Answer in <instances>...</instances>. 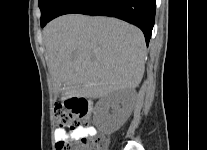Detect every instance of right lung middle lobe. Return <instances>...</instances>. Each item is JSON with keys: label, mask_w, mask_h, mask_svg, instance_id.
Listing matches in <instances>:
<instances>
[{"label": "right lung middle lobe", "mask_w": 207, "mask_h": 150, "mask_svg": "<svg viewBox=\"0 0 207 150\" xmlns=\"http://www.w3.org/2000/svg\"><path fill=\"white\" fill-rule=\"evenodd\" d=\"M63 0H39L41 10V24L49 21Z\"/></svg>", "instance_id": "right-lung-middle-lobe-1"}]
</instances>
